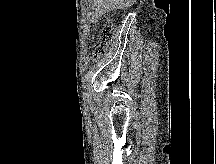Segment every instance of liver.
<instances>
[{
  "label": "liver",
  "instance_id": "1",
  "mask_svg": "<svg viewBox=\"0 0 216 164\" xmlns=\"http://www.w3.org/2000/svg\"><path fill=\"white\" fill-rule=\"evenodd\" d=\"M95 15L100 16L115 9L131 7L136 0H94Z\"/></svg>",
  "mask_w": 216,
  "mask_h": 164
}]
</instances>
